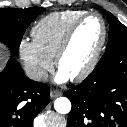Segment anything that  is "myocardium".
I'll list each match as a JSON object with an SVG mask.
<instances>
[{
  "label": "myocardium",
  "instance_id": "f54148a6",
  "mask_svg": "<svg viewBox=\"0 0 127 127\" xmlns=\"http://www.w3.org/2000/svg\"><path fill=\"white\" fill-rule=\"evenodd\" d=\"M95 16L100 19L101 24H102V37L101 41L99 43V46L97 47L96 51L94 52L92 58L90 61L87 63V65L77 74L71 76L70 78L74 81H81L85 79L87 76L91 74V72L94 70L96 67L100 56L103 52V49L106 44V39H107V24L105 19L97 12H85L82 16H80L76 21L73 22V24L69 27L67 30L66 34L64 35L59 48L55 54L54 60H55V65L58 69H60V64L65 56L66 52L68 51L70 44L73 40V37L79 28V26L89 17Z\"/></svg>",
  "mask_w": 127,
  "mask_h": 127
}]
</instances>
